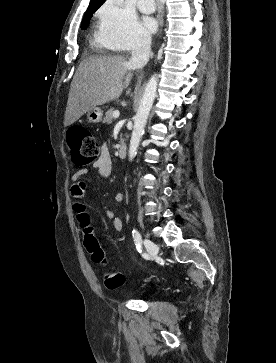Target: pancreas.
I'll return each mask as SVG.
<instances>
[{
	"instance_id": "obj_1",
	"label": "pancreas",
	"mask_w": 276,
	"mask_h": 363,
	"mask_svg": "<svg viewBox=\"0 0 276 363\" xmlns=\"http://www.w3.org/2000/svg\"><path fill=\"white\" fill-rule=\"evenodd\" d=\"M115 111L114 108H110L106 113H105V117L103 119V123H107L110 124L113 121V112Z\"/></svg>"
}]
</instances>
